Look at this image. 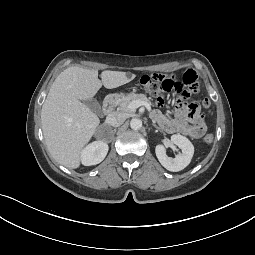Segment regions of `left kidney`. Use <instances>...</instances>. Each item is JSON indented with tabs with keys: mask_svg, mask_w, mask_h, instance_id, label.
I'll return each mask as SVG.
<instances>
[{
	"mask_svg": "<svg viewBox=\"0 0 255 255\" xmlns=\"http://www.w3.org/2000/svg\"><path fill=\"white\" fill-rule=\"evenodd\" d=\"M171 142L177 145L182 153L176 157H168L166 149L162 144H158L155 148L156 156L161 165L169 171L178 172L183 170L189 165L194 154V146L184 136L180 134H174L171 136Z\"/></svg>",
	"mask_w": 255,
	"mask_h": 255,
	"instance_id": "5707ae66",
	"label": "left kidney"
}]
</instances>
